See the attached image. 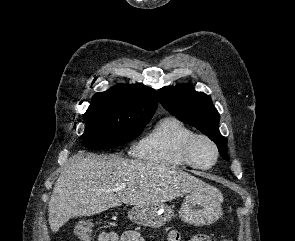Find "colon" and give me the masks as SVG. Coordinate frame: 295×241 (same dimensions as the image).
Segmentation results:
<instances>
[{
	"mask_svg": "<svg viewBox=\"0 0 295 241\" xmlns=\"http://www.w3.org/2000/svg\"><path fill=\"white\" fill-rule=\"evenodd\" d=\"M91 233H92V225L88 224L83 231L81 232L80 236L83 241H90L91 240ZM221 241H233L229 239H223Z\"/></svg>",
	"mask_w": 295,
	"mask_h": 241,
	"instance_id": "colon-1",
	"label": "colon"
}]
</instances>
